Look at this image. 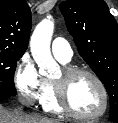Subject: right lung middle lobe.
Returning a JSON list of instances; mask_svg holds the SVG:
<instances>
[{"label": "right lung middle lobe", "mask_w": 118, "mask_h": 123, "mask_svg": "<svg viewBox=\"0 0 118 123\" xmlns=\"http://www.w3.org/2000/svg\"><path fill=\"white\" fill-rule=\"evenodd\" d=\"M22 55L0 50V94L16 95L14 73Z\"/></svg>", "instance_id": "obj_1"}]
</instances>
